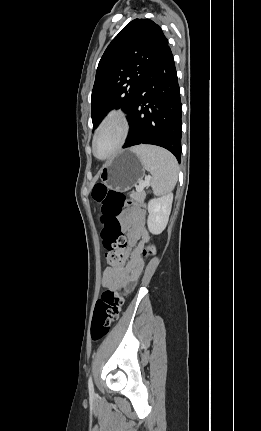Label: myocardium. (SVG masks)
Segmentation results:
<instances>
[{
	"instance_id": "obj_1",
	"label": "myocardium",
	"mask_w": 261,
	"mask_h": 431,
	"mask_svg": "<svg viewBox=\"0 0 261 431\" xmlns=\"http://www.w3.org/2000/svg\"><path fill=\"white\" fill-rule=\"evenodd\" d=\"M111 123H116L119 125L120 127V137L118 140V143L116 144V146L114 147V149L106 156L104 157H99L96 152H95V144H96V140L97 137L99 135V133L109 124ZM129 130H130V124H129V120L126 116V114L122 111L119 110H112L109 113H107L105 115V117L102 119V121L99 123V125L97 126L93 137H92V153L93 155L100 160H107L113 156H115L124 146L128 134H129Z\"/></svg>"
}]
</instances>
